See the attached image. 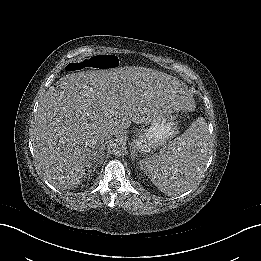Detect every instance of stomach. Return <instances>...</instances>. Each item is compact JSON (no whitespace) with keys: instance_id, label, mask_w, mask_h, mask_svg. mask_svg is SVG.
Masks as SVG:
<instances>
[{"instance_id":"0dacf381","label":"stomach","mask_w":261,"mask_h":261,"mask_svg":"<svg viewBox=\"0 0 261 261\" xmlns=\"http://www.w3.org/2000/svg\"><path fill=\"white\" fill-rule=\"evenodd\" d=\"M172 134L168 116L165 114L154 115L141 122L133 140V149L141 154L153 152Z\"/></svg>"}]
</instances>
